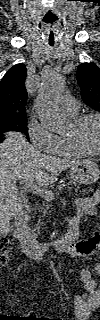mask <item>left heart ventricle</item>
Returning <instances> with one entry per match:
<instances>
[{"label": "left heart ventricle", "instance_id": "left-heart-ventricle-1", "mask_svg": "<svg viewBox=\"0 0 100 320\" xmlns=\"http://www.w3.org/2000/svg\"><path fill=\"white\" fill-rule=\"evenodd\" d=\"M66 136H76L84 146L91 150H96L100 144L99 126L94 120L86 122L78 130H76L72 124Z\"/></svg>", "mask_w": 100, "mask_h": 320}]
</instances>
